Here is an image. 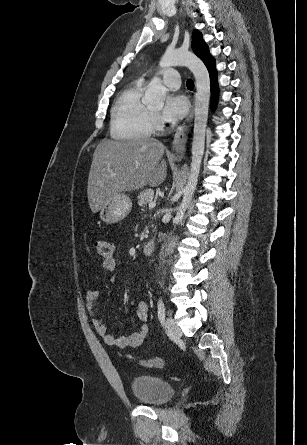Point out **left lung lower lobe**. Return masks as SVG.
Instances as JSON below:
<instances>
[{"instance_id": "1", "label": "left lung lower lobe", "mask_w": 307, "mask_h": 445, "mask_svg": "<svg viewBox=\"0 0 307 445\" xmlns=\"http://www.w3.org/2000/svg\"><path fill=\"white\" fill-rule=\"evenodd\" d=\"M211 79V90H212V101L213 106L216 104L217 94H218V84H217V71L215 68V60L213 59L206 65Z\"/></svg>"}]
</instances>
